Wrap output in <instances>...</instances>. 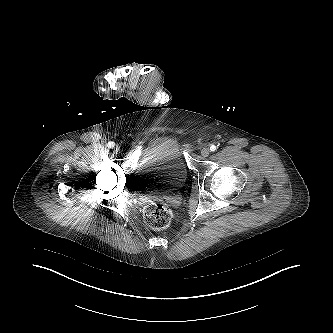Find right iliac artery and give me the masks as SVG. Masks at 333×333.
<instances>
[{
  "mask_svg": "<svg viewBox=\"0 0 333 333\" xmlns=\"http://www.w3.org/2000/svg\"><path fill=\"white\" fill-rule=\"evenodd\" d=\"M107 146L110 147V148H113V147L115 146V144H114V142H109V143L107 144Z\"/></svg>",
  "mask_w": 333,
  "mask_h": 333,
  "instance_id": "82829eb1",
  "label": "right iliac artery"
}]
</instances>
